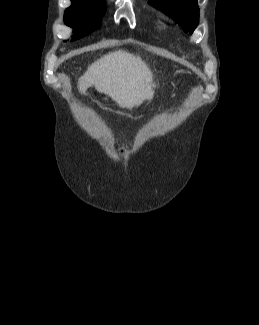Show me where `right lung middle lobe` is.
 <instances>
[{
	"label": "right lung middle lobe",
	"mask_w": 259,
	"mask_h": 325,
	"mask_svg": "<svg viewBox=\"0 0 259 325\" xmlns=\"http://www.w3.org/2000/svg\"><path fill=\"white\" fill-rule=\"evenodd\" d=\"M71 3L65 11L64 22L75 29L73 41L99 28L105 7L103 0H71Z\"/></svg>",
	"instance_id": "dd1d6c3e"
}]
</instances>
